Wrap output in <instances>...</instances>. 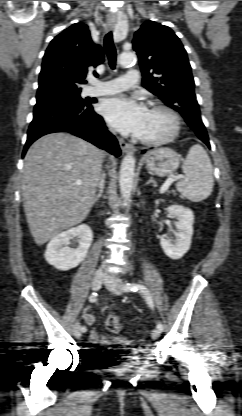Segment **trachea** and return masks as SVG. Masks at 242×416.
Returning <instances> with one entry per match:
<instances>
[{
	"mask_svg": "<svg viewBox=\"0 0 242 416\" xmlns=\"http://www.w3.org/2000/svg\"><path fill=\"white\" fill-rule=\"evenodd\" d=\"M104 47H105V50H106L108 63L110 65L111 69H115L117 54H116V48H115L114 42H113L112 32H109L105 35Z\"/></svg>",
	"mask_w": 242,
	"mask_h": 416,
	"instance_id": "obj_1",
	"label": "trachea"
}]
</instances>
